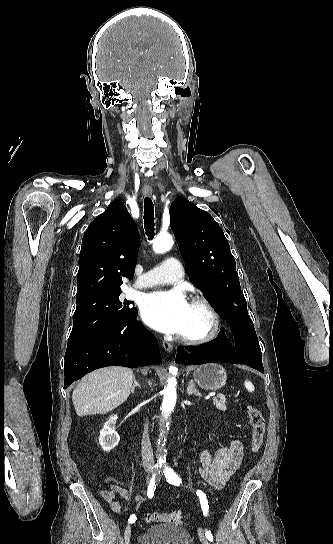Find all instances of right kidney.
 Listing matches in <instances>:
<instances>
[{
    "label": "right kidney",
    "instance_id": "1",
    "mask_svg": "<svg viewBox=\"0 0 333 544\" xmlns=\"http://www.w3.org/2000/svg\"><path fill=\"white\" fill-rule=\"evenodd\" d=\"M116 419L117 415L111 416L110 419L104 423V426L100 431L99 444L106 452L115 448L120 441V437L115 431L114 426Z\"/></svg>",
    "mask_w": 333,
    "mask_h": 544
}]
</instances>
